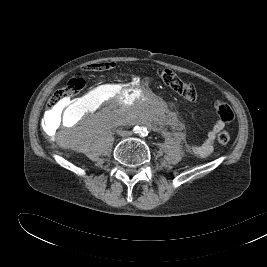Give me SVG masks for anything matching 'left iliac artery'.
I'll return each mask as SVG.
<instances>
[{"instance_id":"44dca946","label":"left iliac artery","mask_w":267,"mask_h":267,"mask_svg":"<svg viewBox=\"0 0 267 267\" xmlns=\"http://www.w3.org/2000/svg\"><path fill=\"white\" fill-rule=\"evenodd\" d=\"M148 135V131H146V129H144L142 136H147Z\"/></svg>"}]
</instances>
